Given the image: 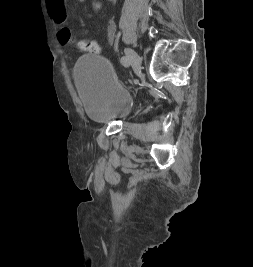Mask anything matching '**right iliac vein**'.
Listing matches in <instances>:
<instances>
[{
  "label": "right iliac vein",
  "instance_id": "1",
  "mask_svg": "<svg viewBox=\"0 0 253 267\" xmlns=\"http://www.w3.org/2000/svg\"><path fill=\"white\" fill-rule=\"evenodd\" d=\"M125 54L129 58L132 66L135 69H139L141 64V58L139 57V55L131 48H125Z\"/></svg>",
  "mask_w": 253,
  "mask_h": 267
}]
</instances>
